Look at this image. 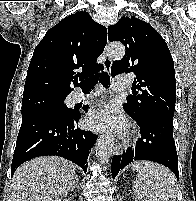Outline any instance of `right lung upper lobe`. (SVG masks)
I'll list each match as a JSON object with an SVG mask.
<instances>
[{
  "label": "right lung upper lobe",
  "mask_w": 196,
  "mask_h": 201,
  "mask_svg": "<svg viewBox=\"0 0 196 201\" xmlns=\"http://www.w3.org/2000/svg\"><path fill=\"white\" fill-rule=\"evenodd\" d=\"M107 43V29L86 11L76 12L47 31L34 50L23 98L45 94L67 96L70 85L102 69L97 58ZM81 71V72H78Z\"/></svg>",
  "instance_id": "cb5924a9"
}]
</instances>
